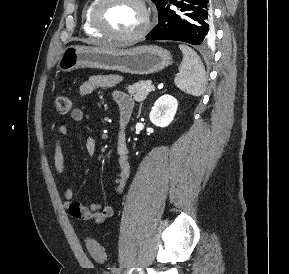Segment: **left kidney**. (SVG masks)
Segmentation results:
<instances>
[{
    "label": "left kidney",
    "mask_w": 289,
    "mask_h": 274,
    "mask_svg": "<svg viewBox=\"0 0 289 274\" xmlns=\"http://www.w3.org/2000/svg\"><path fill=\"white\" fill-rule=\"evenodd\" d=\"M177 108V100L165 94L154 103L149 115L150 121L156 126L166 127L173 121Z\"/></svg>",
    "instance_id": "left-kidney-1"
}]
</instances>
